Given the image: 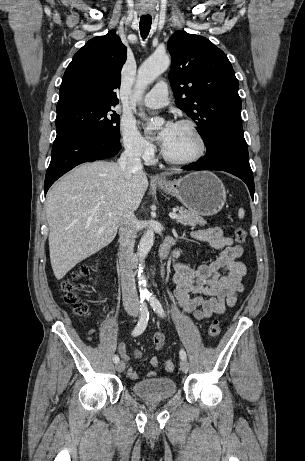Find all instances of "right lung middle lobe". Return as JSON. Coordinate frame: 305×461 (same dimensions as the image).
Wrapping results in <instances>:
<instances>
[{"instance_id":"1","label":"right lung middle lobe","mask_w":305,"mask_h":461,"mask_svg":"<svg viewBox=\"0 0 305 461\" xmlns=\"http://www.w3.org/2000/svg\"><path fill=\"white\" fill-rule=\"evenodd\" d=\"M113 105L80 102L57 107L56 138L93 135L113 142L120 141V116Z\"/></svg>"}]
</instances>
